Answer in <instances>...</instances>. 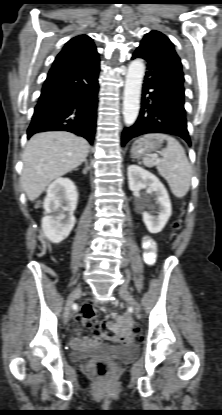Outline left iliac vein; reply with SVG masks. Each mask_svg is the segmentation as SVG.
Listing matches in <instances>:
<instances>
[{"mask_svg": "<svg viewBox=\"0 0 222 415\" xmlns=\"http://www.w3.org/2000/svg\"><path fill=\"white\" fill-rule=\"evenodd\" d=\"M120 297L129 303L137 316L141 313V306L138 301L130 294L126 285H123L118 290Z\"/></svg>", "mask_w": 222, "mask_h": 415, "instance_id": "4c4485c4", "label": "left iliac vein"}]
</instances>
